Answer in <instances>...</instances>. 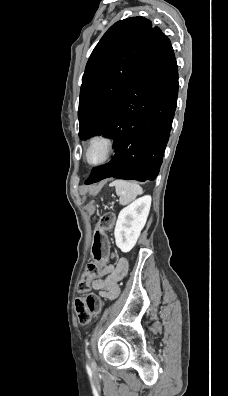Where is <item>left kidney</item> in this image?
<instances>
[{
    "label": "left kidney",
    "instance_id": "5707ae66",
    "mask_svg": "<svg viewBox=\"0 0 228 396\" xmlns=\"http://www.w3.org/2000/svg\"><path fill=\"white\" fill-rule=\"evenodd\" d=\"M151 207V196H143L123 208L115 226L116 246L124 253L135 246Z\"/></svg>",
    "mask_w": 228,
    "mask_h": 396
}]
</instances>
